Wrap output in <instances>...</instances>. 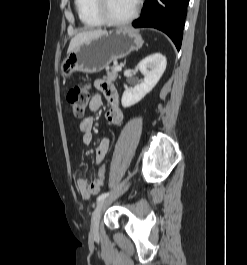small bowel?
I'll return each instance as SVG.
<instances>
[{"label": "small bowel", "instance_id": "obj_1", "mask_svg": "<svg viewBox=\"0 0 247 265\" xmlns=\"http://www.w3.org/2000/svg\"><path fill=\"white\" fill-rule=\"evenodd\" d=\"M94 85L98 93H96L90 101L89 109L91 114L85 116L79 124V128L82 133V143L85 146H89L93 140V113H95L102 105L101 94H103L109 104V108L106 112V119L110 123L118 125L123 121L124 118L123 112L119 107L118 92L114 85L104 80H96ZM109 146V138H102L95 153V161L97 164H100L104 160L109 150ZM76 187L84 199H89L91 196L97 194L100 191L102 183L99 180L90 182L84 175H79L76 178Z\"/></svg>", "mask_w": 247, "mask_h": 265}]
</instances>
